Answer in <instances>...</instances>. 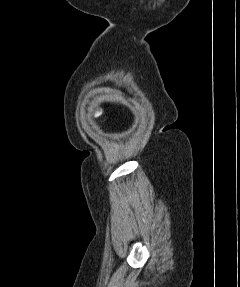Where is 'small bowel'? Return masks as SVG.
I'll list each match as a JSON object with an SVG mask.
<instances>
[{"label": "small bowel", "mask_w": 240, "mask_h": 287, "mask_svg": "<svg viewBox=\"0 0 240 287\" xmlns=\"http://www.w3.org/2000/svg\"><path fill=\"white\" fill-rule=\"evenodd\" d=\"M101 112L100 110L97 108L93 113H92V118H98L100 116Z\"/></svg>", "instance_id": "c3829d8e"}]
</instances>
